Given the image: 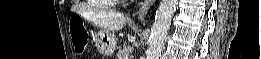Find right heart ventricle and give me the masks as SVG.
<instances>
[{"instance_id":"e07e8e85","label":"right heart ventricle","mask_w":261,"mask_h":59,"mask_svg":"<svg viewBox=\"0 0 261 59\" xmlns=\"http://www.w3.org/2000/svg\"><path fill=\"white\" fill-rule=\"evenodd\" d=\"M101 6H112L113 0H97Z\"/></svg>"}]
</instances>
